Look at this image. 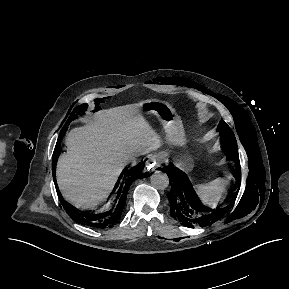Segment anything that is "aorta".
<instances>
[{"instance_id":"762f6f07","label":"aorta","mask_w":289,"mask_h":289,"mask_svg":"<svg viewBox=\"0 0 289 289\" xmlns=\"http://www.w3.org/2000/svg\"><path fill=\"white\" fill-rule=\"evenodd\" d=\"M150 182L154 188L164 190L169 185V178L166 173L155 171L150 177Z\"/></svg>"}]
</instances>
